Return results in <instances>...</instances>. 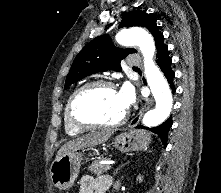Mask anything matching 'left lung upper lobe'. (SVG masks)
<instances>
[{
  "instance_id": "obj_1",
  "label": "left lung upper lobe",
  "mask_w": 221,
  "mask_h": 193,
  "mask_svg": "<svg viewBox=\"0 0 221 193\" xmlns=\"http://www.w3.org/2000/svg\"><path fill=\"white\" fill-rule=\"evenodd\" d=\"M123 26H141L147 28L155 39L156 48L163 42V34L159 32L155 18L151 14L146 13V11L134 10L125 14L119 27ZM135 52L136 50L131 48H116L107 35L93 39L74 59L67 75L64 89L94 73L107 70L121 71L120 60Z\"/></svg>"
}]
</instances>
